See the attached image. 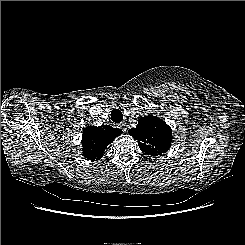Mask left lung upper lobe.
Here are the masks:
<instances>
[{"mask_svg":"<svg viewBox=\"0 0 245 245\" xmlns=\"http://www.w3.org/2000/svg\"><path fill=\"white\" fill-rule=\"evenodd\" d=\"M138 141L140 149L151 156H158L169 150L172 130L160 118L148 115L139 119L136 128L128 132Z\"/></svg>","mask_w":245,"mask_h":245,"instance_id":"left-lung-upper-lobe-1","label":"left lung upper lobe"}]
</instances>
